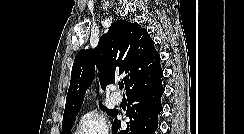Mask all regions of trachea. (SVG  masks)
I'll use <instances>...</instances> for the list:
<instances>
[{"mask_svg":"<svg viewBox=\"0 0 244 134\" xmlns=\"http://www.w3.org/2000/svg\"><path fill=\"white\" fill-rule=\"evenodd\" d=\"M123 88H124V84H123V83H120V84H119V89L122 90Z\"/></svg>","mask_w":244,"mask_h":134,"instance_id":"3493384b","label":"trachea"}]
</instances>
